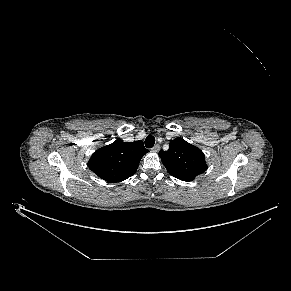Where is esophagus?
<instances>
[{"mask_svg":"<svg viewBox=\"0 0 291 291\" xmlns=\"http://www.w3.org/2000/svg\"><path fill=\"white\" fill-rule=\"evenodd\" d=\"M151 150H152L153 152H158V151L160 150V146H159L158 144H156V145H154V146L151 148Z\"/></svg>","mask_w":291,"mask_h":291,"instance_id":"34e87169","label":"esophagus"}]
</instances>
